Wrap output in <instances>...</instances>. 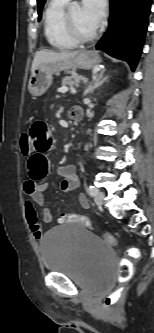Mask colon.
<instances>
[{"instance_id":"colon-1","label":"colon","mask_w":154,"mask_h":333,"mask_svg":"<svg viewBox=\"0 0 154 333\" xmlns=\"http://www.w3.org/2000/svg\"><path fill=\"white\" fill-rule=\"evenodd\" d=\"M20 149L21 152L24 155H28L32 149L31 141H30V136L27 132H24L20 136ZM61 223H66V222H73V223H79L84 225L87 228H91V221L88 217L86 216H81L77 214H65L61 217L60 219ZM103 239L111 246H116L117 245V240L116 238L109 234L105 233L103 234ZM129 255L133 259L138 258V252L137 250H131L129 252ZM120 279L126 281L129 280L132 275H133V265L130 260H125L120 264L119 267V273H118ZM119 300L118 295H110L105 299V305L106 306H112L116 304Z\"/></svg>"}]
</instances>
